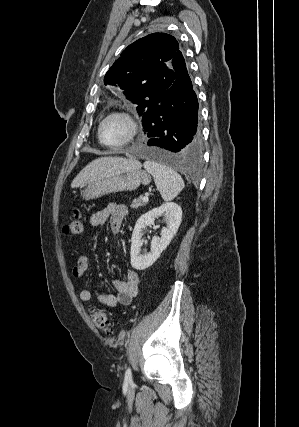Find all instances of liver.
<instances>
[{
    "label": "liver",
    "instance_id": "6515ba94",
    "mask_svg": "<svg viewBox=\"0 0 299 427\" xmlns=\"http://www.w3.org/2000/svg\"><path fill=\"white\" fill-rule=\"evenodd\" d=\"M141 168L137 160L122 157H100L85 166L74 178L71 188L84 186L104 177Z\"/></svg>",
    "mask_w": 299,
    "mask_h": 427
}]
</instances>
